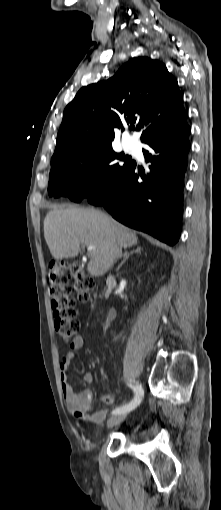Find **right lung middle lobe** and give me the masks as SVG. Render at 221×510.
Segmentation results:
<instances>
[{
	"label": "right lung middle lobe",
	"mask_w": 221,
	"mask_h": 510,
	"mask_svg": "<svg viewBox=\"0 0 221 510\" xmlns=\"http://www.w3.org/2000/svg\"><path fill=\"white\" fill-rule=\"evenodd\" d=\"M133 163L123 153H115L111 145L71 151L51 165L48 193L75 202L92 198L113 185Z\"/></svg>",
	"instance_id": "obj_1"
}]
</instances>
